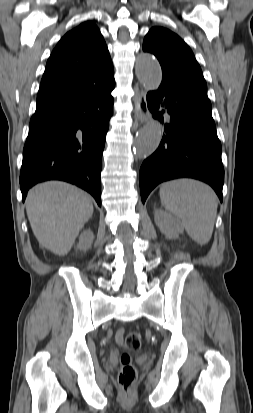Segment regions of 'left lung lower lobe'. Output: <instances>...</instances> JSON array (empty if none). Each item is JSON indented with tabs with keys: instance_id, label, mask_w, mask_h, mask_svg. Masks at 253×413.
<instances>
[{
	"instance_id": "left-lung-lower-lobe-1",
	"label": "left lung lower lobe",
	"mask_w": 253,
	"mask_h": 413,
	"mask_svg": "<svg viewBox=\"0 0 253 413\" xmlns=\"http://www.w3.org/2000/svg\"><path fill=\"white\" fill-rule=\"evenodd\" d=\"M147 104L160 122L164 121L165 111L158 109L165 108L170 122L165 125L158 149L141 166L142 202L159 183L181 177L208 183L222 202L221 143L207 95L163 81L157 91L147 94Z\"/></svg>"
}]
</instances>
